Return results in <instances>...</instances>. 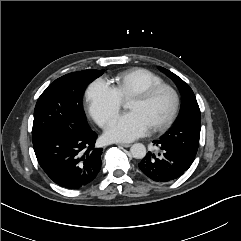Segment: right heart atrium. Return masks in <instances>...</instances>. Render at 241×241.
<instances>
[{
  "label": "right heart atrium",
  "instance_id": "d8ad5b80",
  "mask_svg": "<svg viewBox=\"0 0 241 241\" xmlns=\"http://www.w3.org/2000/svg\"><path fill=\"white\" fill-rule=\"evenodd\" d=\"M86 100L91 117L100 126L107 124L122 106V98L115 87L102 78L89 85Z\"/></svg>",
  "mask_w": 241,
  "mask_h": 241
}]
</instances>
